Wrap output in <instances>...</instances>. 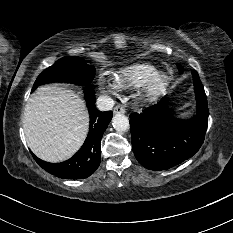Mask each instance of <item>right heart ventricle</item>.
Returning <instances> with one entry per match:
<instances>
[{
	"label": "right heart ventricle",
	"mask_w": 233,
	"mask_h": 233,
	"mask_svg": "<svg viewBox=\"0 0 233 233\" xmlns=\"http://www.w3.org/2000/svg\"><path fill=\"white\" fill-rule=\"evenodd\" d=\"M157 73V68L148 63L128 66L115 77L116 84L122 89H136L147 83Z\"/></svg>",
	"instance_id": "e07e8e85"
}]
</instances>
